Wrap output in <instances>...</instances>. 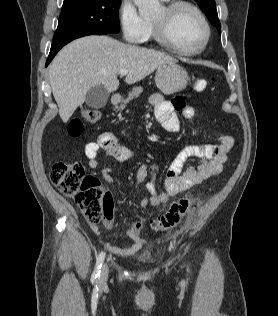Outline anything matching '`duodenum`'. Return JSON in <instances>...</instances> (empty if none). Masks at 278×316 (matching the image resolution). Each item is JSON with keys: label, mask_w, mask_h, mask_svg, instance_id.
I'll use <instances>...</instances> for the list:
<instances>
[{"label": "duodenum", "mask_w": 278, "mask_h": 316, "mask_svg": "<svg viewBox=\"0 0 278 316\" xmlns=\"http://www.w3.org/2000/svg\"><path fill=\"white\" fill-rule=\"evenodd\" d=\"M119 101H120V96H119V95H113V96L111 97V99H110V103H111L112 105L118 104Z\"/></svg>", "instance_id": "obj_1"}]
</instances>
